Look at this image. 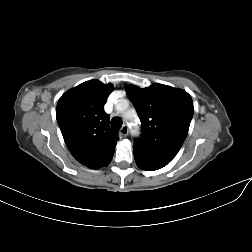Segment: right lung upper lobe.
I'll use <instances>...</instances> for the list:
<instances>
[{
	"label": "right lung upper lobe",
	"instance_id": "1",
	"mask_svg": "<svg viewBox=\"0 0 252 252\" xmlns=\"http://www.w3.org/2000/svg\"><path fill=\"white\" fill-rule=\"evenodd\" d=\"M112 84L84 82L67 91L57 104L56 118L64 141L76 160L97 169L107 166L114 154L117 130L109 126L104 104Z\"/></svg>",
	"mask_w": 252,
	"mask_h": 252
}]
</instances>
